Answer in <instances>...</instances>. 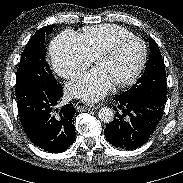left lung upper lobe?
<instances>
[{"label":"left lung upper lobe","instance_id":"left-lung-upper-lobe-1","mask_svg":"<svg viewBox=\"0 0 183 183\" xmlns=\"http://www.w3.org/2000/svg\"><path fill=\"white\" fill-rule=\"evenodd\" d=\"M150 58L147 61L143 75L138 79L126 95L145 99L164 108L167 83L165 65L157 43L150 38Z\"/></svg>","mask_w":183,"mask_h":183}]
</instances>
